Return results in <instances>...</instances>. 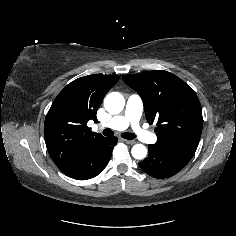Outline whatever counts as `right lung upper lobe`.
<instances>
[{"label":"right lung upper lobe","instance_id":"cb5924a9","mask_svg":"<svg viewBox=\"0 0 236 236\" xmlns=\"http://www.w3.org/2000/svg\"><path fill=\"white\" fill-rule=\"evenodd\" d=\"M119 80L114 75H89L69 83L55 98L44 123L47 150L53 162L66 172L104 137L91 131L106 93Z\"/></svg>","mask_w":236,"mask_h":236}]
</instances>
